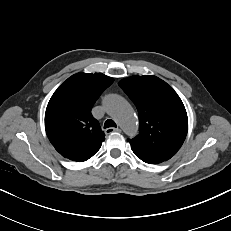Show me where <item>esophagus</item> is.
<instances>
[{"label":"esophagus","mask_w":231,"mask_h":231,"mask_svg":"<svg viewBox=\"0 0 231 231\" xmlns=\"http://www.w3.org/2000/svg\"><path fill=\"white\" fill-rule=\"evenodd\" d=\"M120 131L121 130L119 128H112V127L105 129L106 134H110L112 132H120Z\"/></svg>","instance_id":"obj_1"}]
</instances>
